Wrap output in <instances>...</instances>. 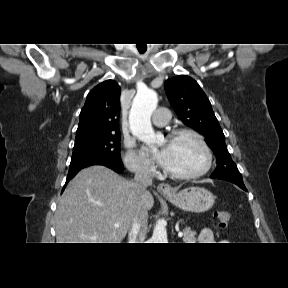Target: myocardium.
Returning <instances> with one entry per match:
<instances>
[{
  "mask_svg": "<svg viewBox=\"0 0 288 288\" xmlns=\"http://www.w3.org/2000/svg\"><path fill=\"white\" fill-rule=\"evenodd\" d=\"M183 136L192 137L200 145L205 154V165L200 170L191 173H179L171 171L162 166L163 172L165 175L175 179L189 180L199 178L205 175L211 169L213 163L212 150L206 142L205 138L199 132L193 129L182 128L174 130L168 135V138L169 140H174Z\"/></svg>",
  "mask_w": 288,
  "mask_h": 288,
  "instance_id": "obj_1",
  "label": "myocardium"
}]
</instances>
